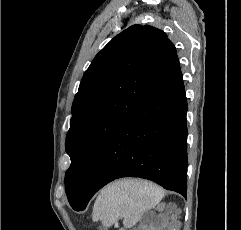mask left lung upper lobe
<instances>
[{
    "mask_svg": "<svg viewBox=\"0 0 241 230\" xmlns=\"http://www.w3.org/2000/svg\"><path fill=\"white\" fill-rule=\"evenodd\" d=\"M179 68L166 33L148 25L122 31L95 56L74 98L66 136L70 205L81 200L104 144Z\"/></svg>",
    "mask_w": 241,
    "mask_h": 230,
    "instance_id": "obj_1",
    "label": "left lung upper lobe"
}]
</instances>
